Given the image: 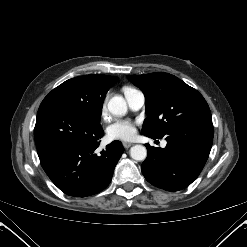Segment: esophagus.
Instances as JSON below:
<instances>
[{
    "label": "esophagus",
    "mask_w": 247,
    "mask_h": 247,
    "mask_svg": "<svg viewBox=\"0 0 247 247\" xmlns=\"http://www.w3.org/2000/svg\"><path fill=\"white\" fill-rule=\"evenodd\" d=\"M123 146H124L125 149H128L129 147L132 146V143H130V142H123Z\"/></svg>",
    "instance_id": "esophagus-1"
}]
</instances>
